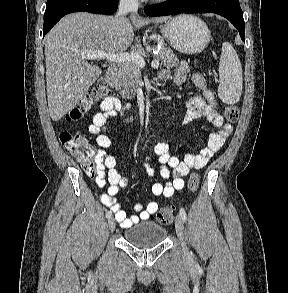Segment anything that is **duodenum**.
<instances>
[{
  "mask_svg": "<svg viewBox=\"0 0 288 293\" xmlns=\"http://www.w3.org/2000/svg\"><path fill=\"white\" fill-rule=\"evenodd\" d=\"M118 76V68L115 65H111L108 67L106 72V81L109 85L113 86L117 81Z\"/></svg>",
  "mask_w": 288,
  "mask_h": 293,
  "instance_id": "duodenum-1",
  "label": "duodenum"
}]
</instances>
